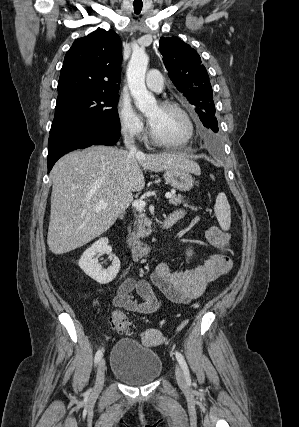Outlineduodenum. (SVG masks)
I'll return each instance as SVG.
<instances>
[{
    "instance_id": "410a0bca",
    "label": "duodenum",
    "mask_w": 299,
    "mask_h": 427,
    "mask_svg": "<svg viewBox=\"0 0 299 427\" xmlns=\"http://www.w3.org/2000/svg\"><path fill=\"white\" fill-rule=\"evenodd\" d=\"M176 221L177 219L175 217L168 216L159 224V227L161 229H169ZM127 246L134 259H140L151 251V247L147 243L141 241L128 240Z\"/></svg>"
}]
</instances>
